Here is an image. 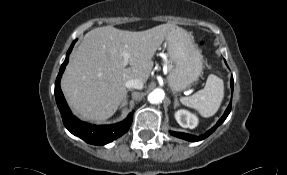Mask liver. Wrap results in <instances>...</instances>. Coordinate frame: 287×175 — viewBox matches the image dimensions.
<instances>
[{"mask_svg": "<svg viewBox=\"0 0 287 175\" xmlns=\"http://www.w3.org/2000/svg\"><path fill=\"white\" fill-rule=\"evenodd\" d=\"M174 29L181 28L167 23L133 32L106 26L86 33L71 54L61 81L74 113L94 122L110 118L127 95L126 81L148 80L153 56ZM124 52L130 55V67L124 65Z\"/></svg>", "mask_w": 287, "mask_h": 175, "instance_id": "obj_1", "label": "liver"}]
</instances>
